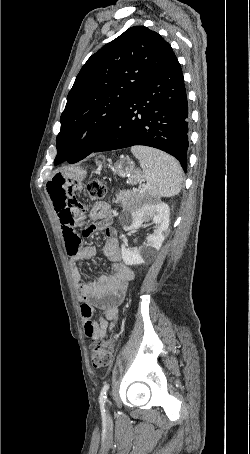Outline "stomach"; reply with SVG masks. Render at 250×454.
<instances>
[{
    "mask_svg": "<svg viewBox=\"0 0 250 454\" xmlns=\"http://www.w3.org/2000/svg\"><path fill=\"white\" fill-rule=\"evenodd\" d=\"M110 167L115 174L127 177L130 184H136L141 179V172L135 169L134 163L129 158H122Z\"/></svg>",
    "mask_w": 250,
    "mask_h": 454,
    "instance_id": "stomach-1",
    "label": "stomach"
}]
</instances>
